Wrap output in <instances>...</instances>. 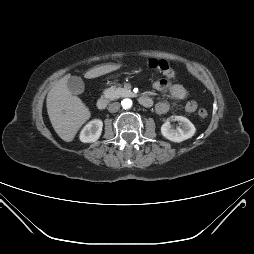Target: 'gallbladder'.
<instances>
[{
    "instance_id": "obj_1",
    "label": "gallbladder",
    "mask_w": 254,
    "mask_h": 254,
    "mask_svg": "<svg viewBox=\"0 0 254 254\" xmlns=\"http://www.w3.org/2000/svg\"><path fill=\"white\" fill-rule=\"evenodd\" d=\"M67 87L73 94H81L85 88L83 80L77 76H70L68 78Z\"/></svg>"
}]
</instances>
